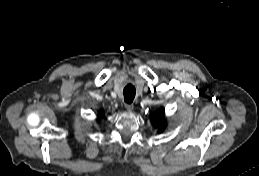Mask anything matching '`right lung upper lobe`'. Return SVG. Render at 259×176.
Wrapping results in <instances>:
<instances>
[{
  "label": "right lung upper lobe",
  "mask_w": 259,
  "mask_h": 176,
  "mask_svg": "<svg viewBox=\"0 0 259 176\" xmlns=\"http://www.w3.org/2000/svg\"><path fill=\"white\" fill-rule=\"evenodd\" d=\"M103 114V111H100V115H102Z\"/></svg>",
  "instance_id": "right-lung-upper-lobe-1"
}]
</instances>
